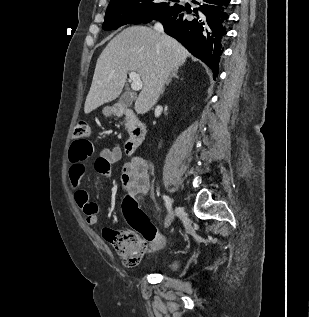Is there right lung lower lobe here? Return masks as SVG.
I'll return each mask as SVG.
<instances>
[{
	"label": "right lung lower lobe",
	"mask_w": 309,
	"mask_h": 317,
	"mask_svg": "<svg viewBox=\"0 0 309 317\" xmlns=\"http://www.w3.org/2000/svg\"><path fill=\"white\" fill-rule=\"evenodd\" d=\"M195 3L198 6L193 10L177 5L143 23L161 21L164 31L209 66L215 79L224 51L230 0H198Z\"/></svg>",
	"instance_id": "right-lung-lower-lobe-1"
}]
</instances>
